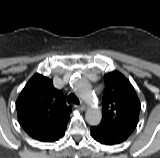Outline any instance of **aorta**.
Masks as SVG:
<instances>
[{"label":"aorta","instance_id":"obj_1","mask_svg":"<svg viewBox=\"0 0 160 158\" xmlns=\"http://www.w3.org/2000/svg\"><path fill=\"white\" fill-rule=\"evenodd\" d=\"M73 89L89 104L93 102V93L90 83L83 78L74 77L71 80ZM86 122L90 125H98L102 119V112L97 107H90L85 115Z\"/></svg>","mask_w":160,"mask_h":158}]
</instances>
